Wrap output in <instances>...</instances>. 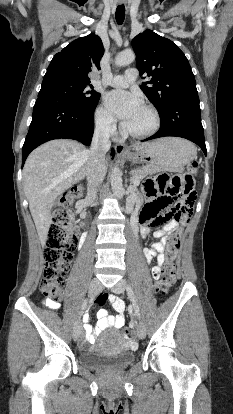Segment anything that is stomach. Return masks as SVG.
Returning <instances> with one entry per match:
<instances>
[{"label": "stomach", "mask_w": 233, "mask_h": 414, "mask_svg": "<svg viewBox=\"0 0 233 414\" xmlns=\"http://www.w3.org/2000/svg\"><path fill=\"white\" fill-rule=\"evenodd\" d=\"M196 156L195 146L180 138H162L145 147L128 153L124 159L133 163H145L157 171H179Z\"/></svg>", "instance_id": "stomach-1"}]
</instances>
